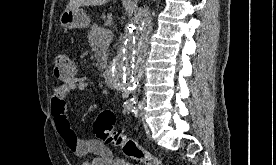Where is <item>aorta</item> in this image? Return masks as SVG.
<instances>
[{"label":"aorta","mask_w":276,"mask_h":165,"mask_svg":"<svg viewBox=\"0 0 276 165\" xmlns=\"http://www.w3.org/2000/svg\"><path fill=\"white\" fill-rule=\"evenodd\" d=\"M151 27L148 8H142L140 20L126 30L120 51L112 62L110 80L118 88L133 91L143 73L147 43L145 36Z\"/></svg>","instance_id":"762f6f07"}]
</instances>
